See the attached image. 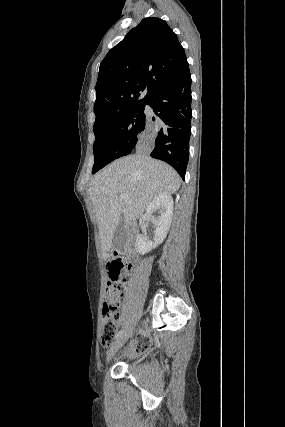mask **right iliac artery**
Segmentation results:
<instances>
[{"mask_svg": "<svg viewBox=\"0 0 285 427\" xmlns=\"http://www.w3.org/2000/svg\"><path fill=\"white\" fill-rule=\"evenodd\" d=\"M123 332H124L123 330L119 331L116 335V338L120 337L123 334Z\"/></svg>", "mask_w": 285, "mask_h": 427, "instance_id": "1", "label": "right iliac artery"}]
</instances>
